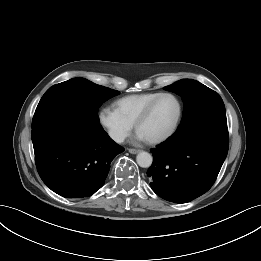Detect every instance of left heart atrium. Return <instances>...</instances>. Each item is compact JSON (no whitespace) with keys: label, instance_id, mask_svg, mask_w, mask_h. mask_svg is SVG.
Returning a JSON list of instances; mask_svg holds the SVG:
<instances>
[{"label":"left heart atrium","instance_id":"39dd6f15","mask_svg":"<svg viewBox=\"0 0 261 261\" xmlns=\"http://www.w3.org/2000/svg\"><path fill=\"white\" fill-rule=\"evenodd\" d=\"M136 139L138 141H147L146 138L143 135H141L140 133H138V132L136 134Z\"/></svg>","mask_w":261,"mask_h":261}]
</instances>
